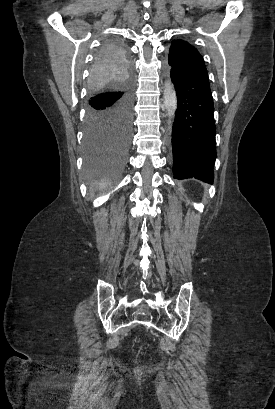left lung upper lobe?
<instances>
[{"mask_svg":"<svg viewBox=\"0 0 275 409\" xmlns=\"http://www.w3.org/2000/svg\"><path fill=\"white\" fill-rule=\"evenodd\" d=\"M168 64L175 71L209 82L203 57L187 41L176 40L171 44Z\"/></svg>","mask_w":275,"mask_h":409,"instance_id":"obj_1","label":"left lung upper lobe"}]
</instances>
